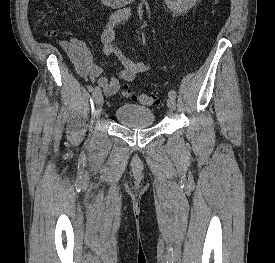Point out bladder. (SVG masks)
I'll list each match as a JSON object with an SVG mask.
<instances>
[{
  "label": "bladder",
  "instance_id": "bladder-1",
  "mask_svg": "<svg viewBox=\"0 0 275 263\" xmlns=\"http://www.w3.org/2000/svg\"><path fill=\"white\" fill-rule=\"evenodd\" d=\"M121 125L130 128L149 127L154 123V112L147 107L126 104L118 107L114 113Z\"/></svg>",
  "mask_w": 275,
  "mask_h": 263
}]
</instances>
